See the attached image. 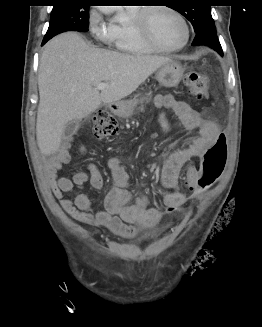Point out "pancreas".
<instances>
[{
    "mask_svg": "<svg viewBox=\"0 0 262 327\" xmlns=\"http://www.w3.org/2000/svg\"><path fill=\"white\" fill-rule=\"evenodd\" d=\"M140 110H141V111H143V110H144L143 106L140 108Z\"/></svg>",
    "mask_w": 262,
    "mask_h": 327,
    "instance_id": "pancreas-1",
    "label": "pancreas"
}]
</instances>
